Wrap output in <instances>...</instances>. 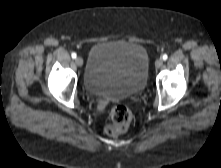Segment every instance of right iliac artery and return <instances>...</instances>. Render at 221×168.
<instances>
[{"label": "right iliac artery", "mask_w": 221, "mask_h": 168, "mask_svg": "<svg viewBox=\"0 0 221 168\" xmlns=\"http://www.w3.org/2000/svg\"><path fill=\"white\" fill-rule=\"evenodd\" d=\"M76 56H77L76 53H72V54H71V57H72L73 59H75Z\"/></svg>", "instance_id": "right-iliac-artery-1"}]
</instances>
